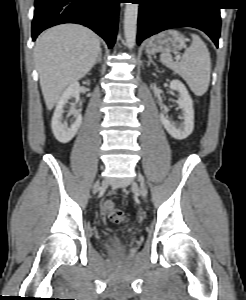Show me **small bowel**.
I'll use <instances>...</instances> for the list:
<instances>
[{
  "label": "small bowel",
  "instance_id": "obj_1",
  "mask_svg": "<svg viewBox=\"0 0 246 300\" xmlns=\"http://www.w3.org/2000/svg\"><path fill=\"white\" fill-rule=\"evenodd\" d=\"M102 218H105V216L102 214Z\"/></svg>",
  "mask_w": 246,
  "mask_h": 300
}]
</instances>
